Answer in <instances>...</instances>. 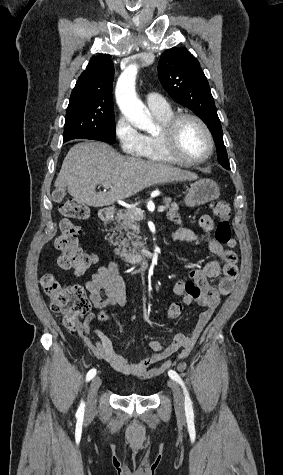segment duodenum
Returning <instances> with one entry per match:
<instances>
[{
  "mask_svg": "<svg viewBox=\"0 0 283 475\" xmlns=\"http://www.w3.org/2000/svg\"><path fill=\"white\" fill-rule=\"evenodd\" d=\"M113 215L114 212L110 208H102L98 213L100 221L104 223L110 222ZM117 256L127 263H142L147 259V254L144 252H121Z\"/></svg>",
  "mask_w": 283,
  "mask_h": 475,
  "instance_id": "1",
  "label": "duodenum"
}]
</instances>
